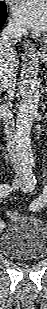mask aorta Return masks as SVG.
I'll return each mask as SVG.
<instances>
[{"label":"aorta","mask_w":47,"mask_h":309,"mask_svg":"<svg viewBox=\"0 0 47 309\" xmlns=\"http://www.w3.org/2000/svg\"><path fill=\"white\" fill-rule=\"evenodd\" d=\"M39 87V80L34 73H31L25 83L16 120V149L22 158H33L30 132L33 121L38 113L40 101Z\"/></svg>","instance_id":"obj_1"}]
</instances>
